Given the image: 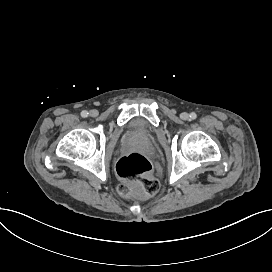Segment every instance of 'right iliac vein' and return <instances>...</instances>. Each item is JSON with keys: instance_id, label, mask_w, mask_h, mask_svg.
Wrapping results in <instances>:
<instances>
[{"instance_id": "1", "label": "right iliac vein", "mask_w": 272, "mask_h": 272, "mask_svg": "<svg viewBox=\"0 0 272 272\" xmlns=\"http://www.w3.org/2000/svg\"><path fill=\"white\" fill-rule=\"evenodd\" d=\"M90 115L91 116H97L98 115V111L96 109H93L90 111Z\"/></svg>"}]
</instances>
